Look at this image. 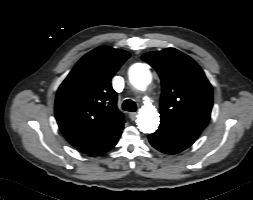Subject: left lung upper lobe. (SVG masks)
<instances>
[{
    "instance_id": "5c2ea615",
    "label": "left lung upper lobe",
    "mask_w": 253,
    "mask_h": 200,
    "mask_svg": "<svg viewBox=\"0 0 253 200\" xmlns=\"http://www.w3.org/2000/svg\"><path fill=\"white\" fill-rule=\"evenodd\" d=\"M142 59L161 78L160 118L202 131L210 119L213 93L199 65L174 48L145 53Z\"/></svg>"
}]
</instances>
